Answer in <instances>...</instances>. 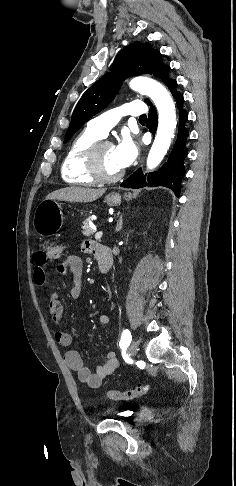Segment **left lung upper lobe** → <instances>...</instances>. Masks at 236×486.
<instances>
[{
	"label": "left lung upper lobe",
	"mask_w": 236,
	"mask_h": 486,
	"mask_svg": "<svg viewBox=\"0 0 236 486\" xmlns=\"http://www.w3.org/2000/svg\"><path fill=\"white\" fill-rule=\"evenodd\" d=\"M112 73L105 74L93 84L79 100L67 130L64 143L98 112L114 99L122 81L139 74H150L164 83L170 79V67L162 61V54L149 43L134 42L121 50L111 66ZM149 103V100H145Z\"/></svg>",
	"instance_id": "obj_1"
}]
</instances>
